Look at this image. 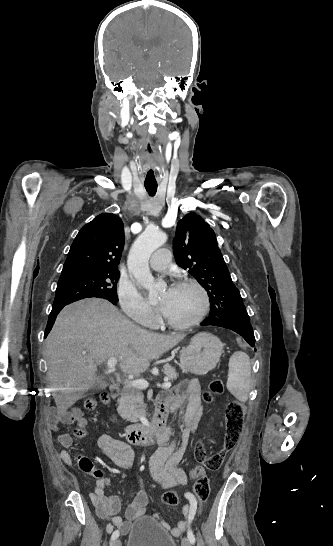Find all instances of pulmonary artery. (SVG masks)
<instances>
[{"mask_svg": "<svg viewBox=\"0 0 333 546\" xmlns=\"http://www.w3.org/2000/svg\"><path fill=\"white\" fill-rule=\"evenodd\" d=\"M171 260V253L168 249H159L152 255L149 265L153 270H165Z\"/></svg>", "mask_w": 333, "mask_h": 546, "instance_id": "e3ab8cb5", "label": "pulmonary artery"}]
</instances>
